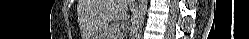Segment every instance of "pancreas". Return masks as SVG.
<instances>
[{
	"instance_id": "cf45deb5",
	"label": "pancreas",
	"mask_w": 249,
	"mask_h": 39,
	"mask_svg": "<svg viewBox=\"0 0 249 39\" xmlns=\"http://www.w3.org/2000/svg\"><path fill=\"white\" fill-rule=\"evenodd\" d=\"M119 25L117 23H113L108 26L105 32V36L107 39H116L118 36Z\"/></svg>"
}]
</instances>
